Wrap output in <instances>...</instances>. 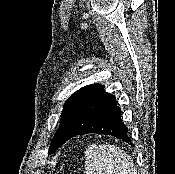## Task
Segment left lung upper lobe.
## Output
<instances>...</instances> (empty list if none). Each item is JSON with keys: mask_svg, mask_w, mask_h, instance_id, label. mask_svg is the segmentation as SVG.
<instances>
[{"mask_svg": "<svg viewBox=\"0 0 175 174\" xmlns=\"http://www.w3.org/2000/svg\"><path fill=\"white\" fill-rule=\"evenodd\" d=\"M99 84H92L85 86L78 91H76L64 104V110L61 115V125L56 131L54 138L51 142L49 153H53L57 148L61 147L63 143V135L66 129V126L70 120V117L76 107V105L79 103V101L92 89L97 87Z\"/></svg>", "mask_w": 175, "mask_h": 174, "instance_id": "1", "label": "left lung upper lobe"}]
</instances>
